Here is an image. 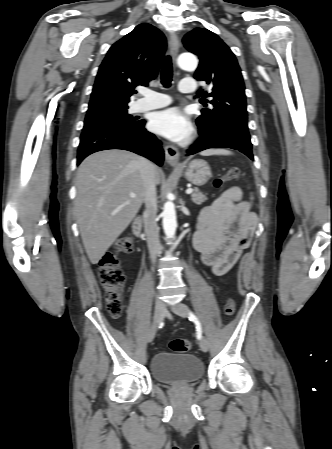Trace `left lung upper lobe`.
Instances as JSON below:
<instances>
[{
    "mask_svg": "<svg viewBox=\"0 0 332 449\" xmlns=\"http://www.w3.org/2000/svg\"><path fill=\"white\" fill-rule=\"evenodd\" d=\"M183 42L200 59L194 78L208 84V89H199L196 97H213L210 102L213 109H202L196 120L199 130L209 133L224 123H247L243 77L230 48L218 35L204 28L190 31Z\"/></svg>",
    "mask_w": 332,
    "mask_h": 449,
    "instance_id": "5c2ea615",
    "label": "left lung upper lobe"
}]
</instances>
